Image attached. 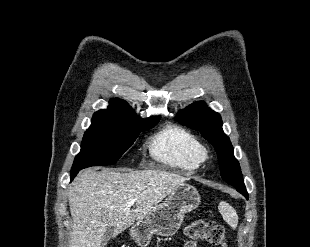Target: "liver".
<instances>
[{
    "label": "liver",
    "instance_id": "6515ba94",
    "mask_svg": "<svg viewBox=\"0 0 310 247\" xmlns=\"http://www.w3.org/2000/svg\"><path fill=\"white\" fill-rule=\"evenodd\" d=\"M188 178L159 169L96 171L86 169L68 192L73 218L70 247H102L108 228L114 236L146 218L174 188ZM136 202L134 209L127 205Z\"/></svg>",
    "mask_w": 310,
    "mask_h": 247
}]
</instances>
